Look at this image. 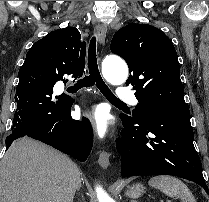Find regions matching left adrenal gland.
Returning a JSON list of instances; mask_svg holds the SVG:
<instances>
[{
  "instance_id": "obj_1",
  "label": "left adrenal gland",
  "mask_w": 209,
  "mask_h": 202,
  "mask_svg": "<svg viewBox=\"0 0 209 202\" xmlns=\"http://www.w3.org/2000/svg\"><path fill=\"white\" fill-rule=\"evenodd\" d=\"M131 202H137V201L133 200V201H131Z\"/></svg>"
}]
</instances>
